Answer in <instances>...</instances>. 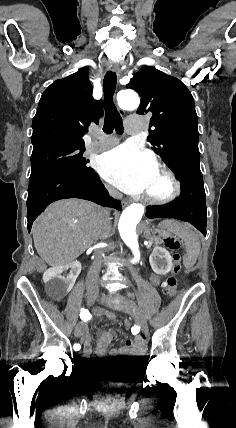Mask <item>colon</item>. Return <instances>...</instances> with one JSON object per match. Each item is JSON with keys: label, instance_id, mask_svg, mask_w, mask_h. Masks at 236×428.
<instances>
[{"label": "colon", "instance_id": "5ec220e1", "mask_svg": "<svg viewBox=\"0 0 236 428\" xmlns=\"http://www.w3.org/2000/svg\"><path fill=\"white\" fill-rule=\"evenodd\" d=\"M165 245L170 250H178L180 248V242L178 241L177 238H175L173 236H168L165 239ZM173 261H174V266L172 269V274L164 282V290H165L166 294L170 297H173L175 295L176 287L178 284V274L181 272L180 255L175 253L173 255ZM124 325L126 328H129L131 326L129 321H126L124 323Z\"/></svg>", "mask_w": 236, "mask_h": 428}]
</instances>
